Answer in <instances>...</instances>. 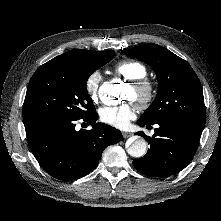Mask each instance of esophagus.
I'll use <instances>...</instances> for the list:
<instances>
[{"label": "esophagus", "instance_id": "1", "mask_svg": "<svg viewBox=\"0 0 221 221\" xmlns=\"http://www.w3.org/2000/svg\"><path fill=\"white\" fill-rule=\"evenodd\" d=\"M122 134L124 138H128L132 135L130 132H123Z\"/></svg>", "mask_w": 221, "mask_h": 221}]
</instances>
